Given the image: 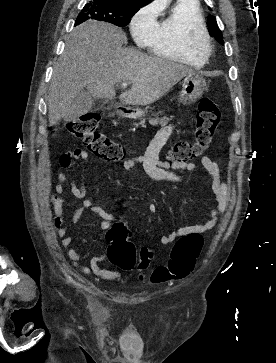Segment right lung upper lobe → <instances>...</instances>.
I'll use <instances>...</instances> for the list:
<instances>
[{"mask_svg":"<svg viewBox=\"0 0 276 363\" xmlns=\"http://www.w3.org/2000/svg\"><path fill=\"white\" fill-rule=\"evenodd\" d=\"M111 1L144 5V4H147L148 2H150L151 0H111Z\"/></svg>","mask_w":276,"mask_h":363,"instance_id":"obj_1","label":"right lung upper lobe"}]
</instances>
